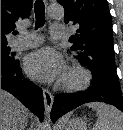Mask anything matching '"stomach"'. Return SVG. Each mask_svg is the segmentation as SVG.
<instances>
[{"mask_svg": "<svg viewBox=\"0 0 123 130\" xmlns=\"http://www.w3.org/2000/svg\"><path fill=\"white\" fill-rule=\"evenodd\" d=\"M65 130H87L86 120L82 118H72L66 123Z\"/></svg>", "mask_w": 123, "mask_h": 130, "instance_id": "stomach-1", "label": "stomach"}]
</instances>
